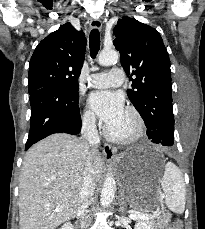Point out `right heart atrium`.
<instances>
[{
    "label": "right heart atrium",
    "mask_w": 205,
    "mask_h": 229,
    "mask_svg": "<svg viewBox=\"0 0 205 229\" xmlns=\"http://www.w3.org/2000/svg\"><path fill=\"white\" fill-rule=\"evenodd\" d=\"M82 124L88 128H93L96 126V117L90 110H83L81 114Z\"/></svg>",
    "instance_id": "d8ad5b80"
}]
</instances>
